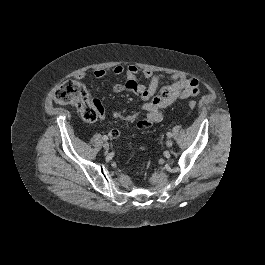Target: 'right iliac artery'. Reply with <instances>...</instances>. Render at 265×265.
Masks as SVG:
<instances>
[{
  "label": "right iliac artery",
  "mask_w": 265,
  "mask_h": 265,
  "mask_svg": "<svg viewBox=\"0 0 265 265\" xmlns=\"http://www.w3.org/2000/svg\"><path fill=\"white\" fill-rule=\"evenodd\" d=\"M102 139H103L104 141H107V140H108V137H107L106 135H104V136L102 137Z\"/></svg>",
  "instance_id": "1"
}]
</instances>
